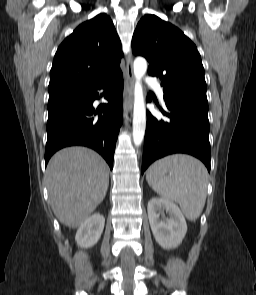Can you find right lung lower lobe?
Wrapping results in <instances>:
<instances>
[{"instance_id": "obj_1", "label": "right lung lower lobe", "mask_w": 256, "mask_h": 295, "mask_svg": "<svg viewBox=\"0 0 256 295\" xmlns=\"http://www.w3.org/2000/svg\"><path fill=\"white\" fill-rule=\"evenodd\" d=\"M123 75L118 72L90 85L49 95L45 165L59 149L83 145L100 153L113 168L115 143L122 124ZM104 89L108 104L93 107ZM102 112V114H101ZM99 113L98 117H94Z\"/></svg>"}]
</instances>
